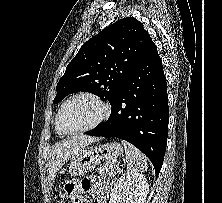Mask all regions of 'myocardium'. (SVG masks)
<instances>
[{"mask_svg":"<svg viewBox=\"0 0 222 203\" xmlns=\"http://www.w3.org/2000/svg\"><path fill=\"white\" fill-rule=\"evenodd\" d=\"M78 98H87V99H90V100L94 101L95 103H97L101 107V110H102L101 115L99 116V118L95 122H93L92 124H90L86 127L79 128L76 130H67L61 124L62 112L71 101L78 99ZM110 113H111L110 105L108 103H106L99 96L92 94V93H78V94H75V95L69 97L61 105L60 109L58 110L57 116H56V126H57L58 130L60 132H62L63 134L74 135V134L84 133V132L90 131V130L98 127L100 124H102L110 116Z\"/></svg>","mask_w":222,"mask_h":203,"instance_id":"myocardium-1","label":"myocardium"}]
</instances>
